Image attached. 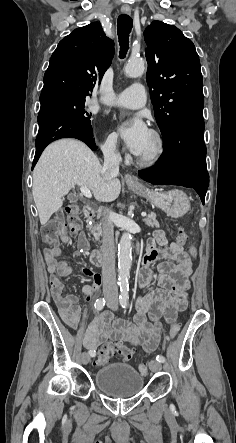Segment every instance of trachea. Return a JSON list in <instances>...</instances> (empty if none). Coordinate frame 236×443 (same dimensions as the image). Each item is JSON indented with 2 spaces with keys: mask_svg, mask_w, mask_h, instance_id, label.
<instances>
[{
  "mask_svg": "<svg viewBox=\"0 0 236 443\" xmlns=\"http://www.w3.org/2000/svg\"><path fill=\"white\" fill-rule=\"evenodd\" d=\"M133 26L130 16L122 14L118 17L117 32L120 43V58H124L129 49V34Z\"/></svg>",
  "mask_w": 236,
  "mask_h": 443,
  "instance_id": "trachea-1",
  "label": "trachea"
}]
</instances>
